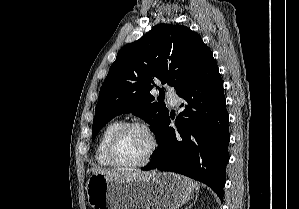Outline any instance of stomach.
Listing matches in <instances>:
<instances>
[{"label": "stomach", "instance_id": "1", "mask_svg": "<svg viewBox=\"0 0 299 209\" xmlns=\"http://www.w3.org/2000/svg\"><path fill=\"white\" fill-rule=\"evenodd\" d=\"M193 189L189 178L165 172L132 180L93 173L86 184L93 209H178L190 199Z\"/></svg>", "mask_w": 299, "mask_h": 209}]
</instances>
